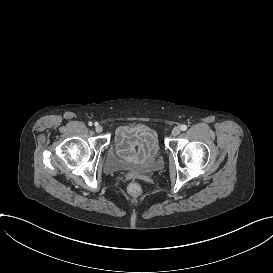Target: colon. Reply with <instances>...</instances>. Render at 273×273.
<instances>
[{"label":"colon","instance_id":"5ec220e1","mask_svg":"<svg viewBox=\"0 0 273 273\" xmlns=\"http://www.w3.org/2000/svg\"><path fill=\"white\" fill-rule=\"evenodd\" d=\"M124 194L133 202H140L145 197V189L137 181H128L123 188Z\"/></svg>","mask_w":273,"mask_h":273}]
</instances>
